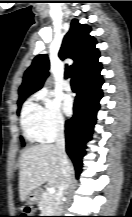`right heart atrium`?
Instances as JSON below:
<instances>
[{
  "mask_svg": "<svg viewBox=\"0 0 132 217\" xmlns=\"http://www.w3.org/2000/svg\"><path fill=\"white\" fill-rule=\"evenodd\" d=\"M41 101V133L46 141L53 140L60 135L65 127V119L59 103L52 99L45 91L36 94Z\"/></svg>",
  "mask_w": 132,
  "mask_h": 217,
  "instance_id": "right-heart-atrium-1",
  "label": "right heart atrium"
}]
</instances>
